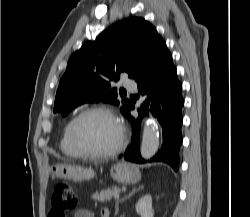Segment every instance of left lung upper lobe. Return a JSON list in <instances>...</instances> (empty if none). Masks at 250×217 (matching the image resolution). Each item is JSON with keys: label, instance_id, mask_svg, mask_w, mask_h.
Listing matches in <instances>:
<instances>
[{"label": "left lung upper lobe", "instance_id": "obj_1", "mask_svg": "<svg viewBox=\"0 0 250 217\" xmlns=\"http://www.w3.org/2000/svg\"><path fill=\"white\" fill-rule=\"evenodd\" d=\"M162 37L145 19L129 17L87 41L69 59L56 93L54 112L67 115L87 102H110L118 105L117 91L110 82L120 73L137 77L151 63ZM126 114L130 101H122Z\"/></svg>", "mask_w": 250, "mask_h": 217}]
</instances>
